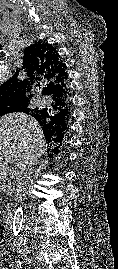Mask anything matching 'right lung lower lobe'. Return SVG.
<instances>
[{"label": "right lung lower lobe", "instance_id": "right-lung-lower-lobe-1", "mask_svg": "<svg viewBox=\"0 0 118 269\" xmlns=\"http://www.w3.org/2000/svg\"><path fill=\"white\" fill-rule=\"evenodd\" d=\"M70 89V88H69ZM67 130H68V125H67ZM67 130H65L64 132H60L58 134H56L52 140L48 141V142H51L52 143H61V142H64V135L65 133L67 132ZM56 152H58V150H54Z\"/></svg>", "mask_w": 118, "mask_h": 269}]
</instances>
